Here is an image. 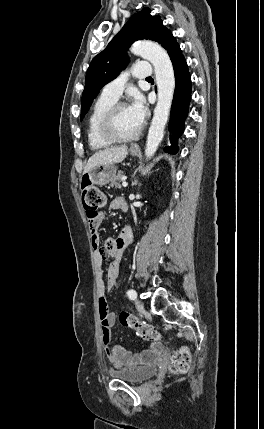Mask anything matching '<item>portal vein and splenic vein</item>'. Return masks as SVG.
Masks as SVG:
<instances>
[{
  "label": "portal vein and splenic vein",
  "mask_w": 264,
  "mask_h": 429,
  "mask_svg": "<svg viewBox=\"0 0 264 429\" xmlns=\"http://www.w3.org/2000/svg\"><path fill=\"white\" fill-rule=\"evenodd\" d=\"M127 185H128V183L125 181V179L123 180V182H122V186L123 187H127Z\"/></svg>",
  "instance_id": "portal-vein-and-splenic-vein-1"
}]
</instances>
